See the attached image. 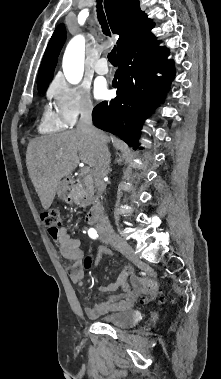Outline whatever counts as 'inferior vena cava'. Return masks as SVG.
Here are the masks:
<instances>
[{
	"label": "inferior vena cava",
	"mask_w": 221,
	"mask_h": 379,
	"mask_svg": "<svg viewBox=\"0 0 221 379\" xmlns=\"http://www.w3.org/2000/svg\"><path fill=\"white\" fill-rule=\"evenodd\" d=\"M91 112L92 106L90 104H87L82 108L80 119L77 124V130L86 132L98 140V156L93 169V176L98 192H104L106 189L104 178L109 172L110 152L107 144L103 141V133L96 129L92 124ZM99 227L111 230V225L107 216H103L100 219Z\"/></svg>",
	"instance_id": "602c4592"
}]
</instances>
